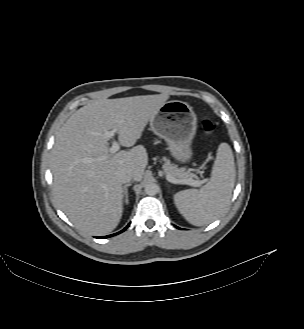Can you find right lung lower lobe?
Masks as SVG:
<instances>
[{
    "label": "right lung lower lobe",
    "mask_w": 304,
    "mask_h": 329,
    "mask_svg": "<svg viewBox=\"0 0 304 329\" xmlns=\"http://www.w3.org/2000/svg\"><path fill=\"white\" fill-rule=\"evenodd\" d=\"M125 229H126V228H125ZM125 229H123L122 231H120V232H118V233H116V234H119V233L123 232ZM116 234L108 235V236H106V237H111V236H114V235H116ZM97 238H105V237H97Z\"/></svg>",
    "instance_id": "right-lung-lower-lobe-1"
}]
</instances>
